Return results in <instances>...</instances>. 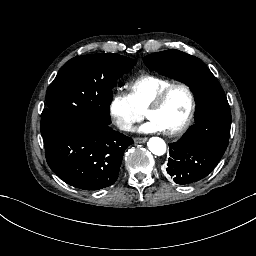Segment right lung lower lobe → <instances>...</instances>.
I'll list each match as a JSON object with an SVG mask.
<instances>
[{
    "label": "right lung lower lobe",
    "instance_id": "obj_1",
    "mask_svg": "<svg viewBox=\"0 0 256 256\" xmlns=\"http://www.w3.org/2000/svg\"><path fill=\"white\" fill-rule=\"evenodd\" d=\"M43 136L51 170L67 184L84 190L112 185L130 137L108 125H87L79 132L55 129Z\"/></svg>",
    "mask_w": 256,
    "mask_h": 256
}]
</instances>
